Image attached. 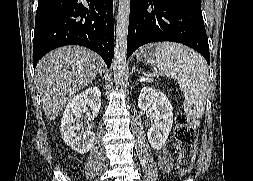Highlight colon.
Masks as SVG:
<instances>
[{"label": "colon", "mask_w": 253, "mask_h": 181, "mask_svg": "<svg viewBox=\"0 0 253 181\" xmlns=\"http://www.w3.org/2000/svg\"><path fill=\"white\" fill-rule=\"evenodd\" d=\"M175 120L174 137L178 149L177 169L181 174H186L193 165L197 135L184 114L179 113Z\"/></svg>", "instance_id": "1"}]
</instances>
